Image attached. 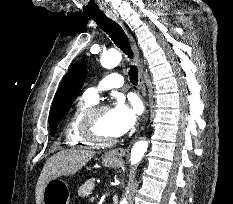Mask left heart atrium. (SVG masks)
<instances>
[{"label": "left heart atrium", "instance_id": "39dd6f15", "mask_svg": "<svg viewBox=\"0 0 233 204\" xmlns=\"http://www.w3.org/2000/svg\"><path fill=\"white\" fill-rule=\"evenodd\" d=\"M140 107L136 101L125 103L119 100L110 110L113 130L117 136L124 135L131 130L137 122Z\"/></svg>", "mask_w": 233, "mask_h": 204}]
</instances>
